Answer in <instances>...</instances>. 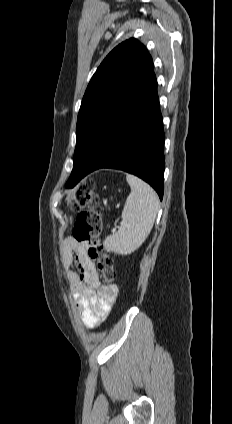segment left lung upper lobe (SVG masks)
<instances>
[{
    "label": "left lung upper lobe",
    "instance_id": "1",
    "mask_svg": "<svg viewBox=\"0 0 232 424\" xmlns=\"http://www.w3.org/2000/svg\"><path fill=\"white\" fill-rule=\"evenodd\" d=\"M153 68L146 47L134 38L119 44L103 60L82 99L70 177L82 175L96 142Z\"/></svg>",
    "mask_w": 232,
    "mask_h": 424
}]
</instances>
